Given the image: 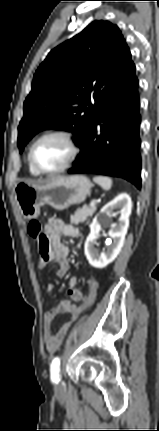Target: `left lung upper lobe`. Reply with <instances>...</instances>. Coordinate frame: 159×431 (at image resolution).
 Returning a JSON list of instances; mask_svg holds the SVG:
<instances>
[{
  "label": "left lung upper lobe",
  "instance_id": "5c2ea615",
  "mask_svg": "<svg viewBox=\"0 0 159 431\" xmlns=\"http://www.w3.org/2000/svg\"><path fill=\"white\" fill-rule=\"evenodd\" d=\"M132 63L118 27L102 20L51 50L24 102L18 127L20 152L44 129L70 131L79 145L98 108Z\"/></svg>",
  "mask_w": 159,
  "mask_h": 431
}]
</instances>
